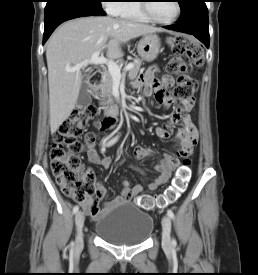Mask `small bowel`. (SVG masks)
Here are the masks:
<instances>
[{
  "mask_svg": "<svg viewBox=\"0 0 258 275\" xmlns=\"http://www.w3.org/2000/svg\"><path fill=\"white\" fill-rule=\"evenodd\" d=\"M157 72L158 68L156 66L149 68L142 76V78L135 82V85L143 86L144 96H148L153 91H156V98L158 103L164 107H168L171 104V99L167 95L166 89L173 86L174 79L170 75H164L161 81H159L156 78ZM193 104V98L188 101H184L181 106L176 108L175 111L172 113L169 120L170 124L180 120L182 121V126L176 132V138L180 141L181 145L174 155L165 153L158 159L155 169L159 173V175L148 185L149 191H154L160 186L166 184L171 178L174 169L179 165L180 158H185L186 156H189L192 153L195 145L197 144V128L192 122L189 115ZM167 126L168 125L157 127L156 134L161 138H168L169 132L167 130ZM107 129H102V131ZM95 144V140L88 141L86 144V153L89 161L93 164H98L101 165L103 168L108 169L111 165V158H101L98 155ZM152 155L153 151L147 147L137 145L134 148V157L137 160L150 157ZM132 166L142 175H146V172L142 167L134 164ZM122 186V196H118L113 200L107 202L103 209L99 207L98 202L93 201L91 198L80 203L82 209L93 219H98L101 218L109 210L115 208L118 205H121L123 202L132 201L135 197H137L144 191V188L141 185L131 186L127 180L122 181ZM105 194V187L100 182H96V198L102 199Z\"/></svg>",
  "mask_w": 258,
  "mask_h": 275,
  "instance_id": "obj_1",
  "label": "small bowel"
}]
</instances>
